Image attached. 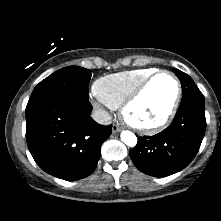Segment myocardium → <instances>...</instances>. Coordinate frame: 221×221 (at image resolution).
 Masks as SVG:
<instances>
[{
    "label": "myocardium",
    "mask_w": 221,
    "mask_h": 221,
    "mask_svg": "<svg viewBox=\"0 0 221 221\" xmlns=\"http://www.w3.org/2000/svg\"><path fill=\"white\" fill-rule=\"evenodd\" d=\"M163 74L170 76L176 85V94L168 113L162 120H160L159 122L153 125H138L132 122L128 117V110L141 97V95L150 85V83L156 77ZM181 97H182V86L178 77L169 70H163V69L157 70L148 77H146L142 82H140L137 85V87L127 96V98L123 101V103L120 106V114L125 124L128 125L130 128H132L133 130L137 131L138 133L148 134V135L155 134L162 131L172 122L179 108Z\"/></svg>",
    "instance_id": "f54148a6"
}]
</instances>
